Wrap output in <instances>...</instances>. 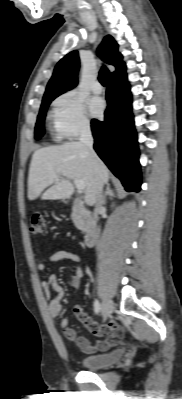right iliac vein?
<instances>
[{
  "label": "right iliac vein",
  "mask_w": 182,
  "mask_h": 399,
  "mask_svg": "<svg viewBox=\"0 0 182 399\" xmlns=\"http://www.w3.org/2000/svg\"><path fill=\"white\" fill-rule=\"evenodd\" d=\"M113 310V303L110 299H105L102 304V315L106 319L108 318Z\"/></svg>",
  "instance_id": "obj_1"
}]
</instances>
